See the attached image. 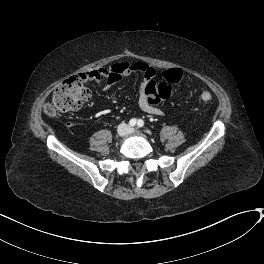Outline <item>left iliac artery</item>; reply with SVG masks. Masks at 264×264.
<instances>
[{
	"mask_svg": "<svg viewBox=\"0 0 264 264\" xmlns=\"http://www.w3.org/2000/svg\"><path fill=\"white\" fill-rule=\"evenodd\" d=\"M137 126L138 127H143L144 126V121L139 119L138 122H137Z\"/></svg>",
	"mask_w": 264,
	"mask_h": 264,
	"instance_id": "left-iliac-artery-1",
	"label": "left iliac artery"
}]
</instances>
